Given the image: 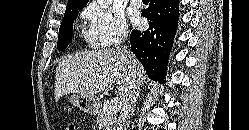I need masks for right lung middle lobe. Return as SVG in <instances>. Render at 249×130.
<instances>
[{
	"label": "right lung middle lobe",
	"mask_w": 249,
	"mask_h": 130,
	"mask_svg": "<svg viewBox=\"0 0 249 130\" xmlns=\"http://www.w3.org/2000/svg\"><path fill=\"white\" fill-rule=\"evenodd\" d=\"M83 6L67 5L61 26L59 28L57 48L63 51L71 43V36L73 30V20L77 17L79 10Z\"/></svg>",
	"instance_id": "obj_1"
}]
</instances>
